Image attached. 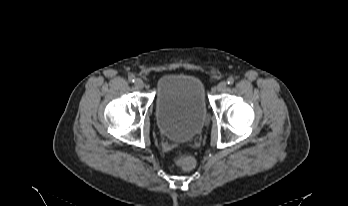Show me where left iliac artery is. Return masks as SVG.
<instances>
[{
  "mask_svg": "<svg viewBox=\"0 0 348 206\" xmlns=\"http://www.w3.org/2000/svg\"><path fill=\"white\" fill-rule=\"evenodd\" d=\"M233 83H234V78H233V77H229V78L227 79V84H228V85H233Z\"/></svg>",
  "mask_w": 348,
  "mask_h": 206,
  "instance_id": "1",
  "label": "left iliac artery"
}]
</instances>
